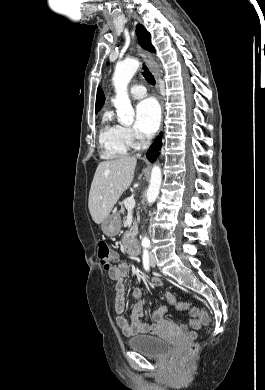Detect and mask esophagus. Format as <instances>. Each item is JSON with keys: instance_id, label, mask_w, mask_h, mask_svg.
Returning <instances> with one entry per match:
<instances>
[{"instance_id": "34e87169", "label": "esophagus", "mask_w": 265, "mask_h": 390, "mask_svg": "<svg viewBox=\"0 0 265 390\" xmlns=\"http://www.w3.org/2000/svg\"><path fill=\"white\" fill-rule=\"evenodd\" d=\"M138 47V51L140 53V55L143 57V59L145 60L146 64L148 65L149 69L152 71L155 79H156V82H157V87L159 86L158 85V74H157V71L155 70L154 66H153V57H152V54L144 49H142L139 45L137 46Z\"/></svg>"}]
</instances>
